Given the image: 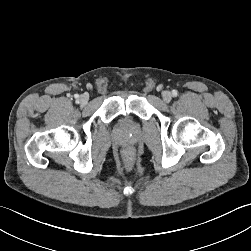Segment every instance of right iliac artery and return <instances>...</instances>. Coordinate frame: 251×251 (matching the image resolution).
Returning <instances> with one entry per match:
<instances>
[{"mask_svg":"<svg viewBox=\"0 0 251 251\" xmlns=\"http://www.w3.org/2000/svg\"><path fill=\"white\" fill-rule=\"evenodd\" d=\"M75 98H78V95H75Z\"/></svg>","mask_w":251,"mask_h":251,"instance_id":"82829eb1","label":"right iliac artery"}]
</instances>
